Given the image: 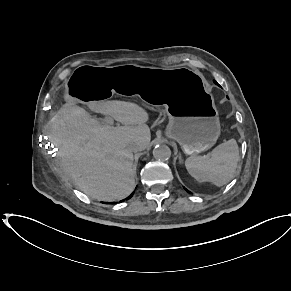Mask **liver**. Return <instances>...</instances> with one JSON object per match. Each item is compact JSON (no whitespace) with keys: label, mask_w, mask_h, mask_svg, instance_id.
<instances>
[{"label":"liver","mask_w":291,"mask_h":291,"mask_svg":"<svg viewBox=\"0 0 291 291\" xmlns=\"http://www.w3.org/2000/svg\"><path fill=\"white\" fill-rule=\"evenodd\" d=\"M87 106L123 126L102 125L68 101L52 119L51 140L61 167L86 195L102 201L123 199L135 188L129 146L135 144L142 151L151 140L148 113L135 103L119 100L91 101Z\"/></svg>","instance_id":"liver-1"}]
</instances>
